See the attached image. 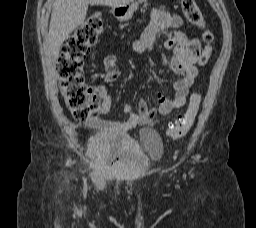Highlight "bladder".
Returning a JSON list of instances; mask_svg holds the SVG:
<instances>
[{"label":"bladder","mask_w":256,"mask_h":228,"mask_svg":"<svg viewBox=\"0 0 256 228\" xmlns=\"http://www.w3.org/2000/svg\"><path fill=\"white\" fill-rule=\"evenodd\" d=\"M138 143L125 135H100L88 146L93 168L104 176H131L141 173L159 159L164 145L159 133L145 128Z\"/></svg>","instance_id":"1"}]
</instances>
